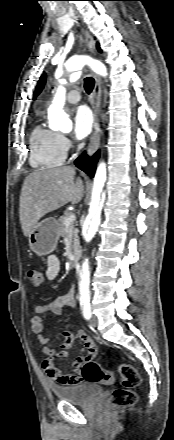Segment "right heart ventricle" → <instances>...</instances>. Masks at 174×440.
I'll list each match as a JSON object with an SVG mask.
<instances>
[{
  "mask_svg": "<svg viewBox=\"0 0 174 440\" xmlns=\"http://www.w3.org/2000/svg\"><path fill=\"white\" fill-rule=\"evenodd\" d=\"M59 133L37 125L30 135V165L34 168L60 166L66 154L60 146Z\"/></svg>",
  "mask_w": 174,
  "mask_h": 440,
  "instance_id": "obj_1",
  "label": "right heart ventricle"
}]
</instances>
